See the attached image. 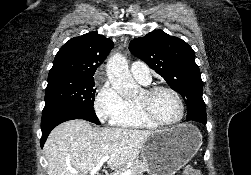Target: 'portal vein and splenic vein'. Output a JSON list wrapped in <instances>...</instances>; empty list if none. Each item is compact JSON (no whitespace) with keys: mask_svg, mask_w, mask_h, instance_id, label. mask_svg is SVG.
<instances>
[{"mask_svg":"<svg viewBox=\"0 0 251 175\" xmlns=\"http://www.w3.org/2000/svg\"><path fill=\"white\" fill-rule=\"evenodd\" d=\"M110 157L111 155H104V157H101L99 163H97V165H95V167H92L91 171H89L90 175H95V173L99 171L100 167H102L103 163H105V161H108ZM69 171H71V173H78L77 169H69ZM130 173V169H127V171H123V173H114V175H130Z\"/></svg>","mask_w":251,"mask_h":175,"instance_id":"18ae733b","label":"portal vein and splenic vein"}]
</instances>
